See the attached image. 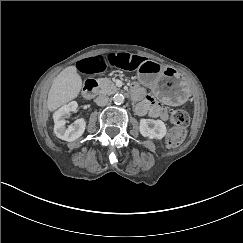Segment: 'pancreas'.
<instances>
[{"mask_svg":"<svg viewBox=\"0 0 243 243\" xmlns=\"http://www.w3.org/2000/svg\"><path fill=\"white\" fill-rule=\"evenodd\" d=\"M100 93L113 94L118 91L117 86L109 78H100L97 80Z\"/></svg>","mask_w":243,"mask_h":243,"instance_id":"cf45deb5","label":"pancreas"}]
</instances>
